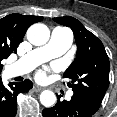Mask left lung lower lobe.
Instances as JSON below:
<instances>
[{
	"label": "left lung lower lobe",
	"mask_w": 117,
	"mask_h": 117,
	"mask_svg": "<svg viewBox=\"0 0 117 117\" xmlns=\"http://www.w3.org/2000/svg\"><path fill=\"white\" fill-rule=\"evenodd\" d=\"M99 107L79 94H73L70 101H60L52 108L43 110V117H91Z\"/></svg>",
	"instance_id": "0a47b994"
}]
</instances>
